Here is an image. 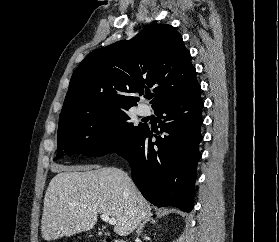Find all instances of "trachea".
I'll return each mask as SVG.
<instances>
[{
    "mask_svg": "<svg viewBox=\"0 0 279 242\" xmlns=\"http://www.w3.org/2000/svg\"><path fill=\"white\" fill-rule=\"evenodd\" d=\"M152 97H153L152 95H148V96H147L148 99H151Z\"/></svg>",
    "mask_w": 279,
    "mask_h": 242,
    "instance_id": "1",
    "label": "trachea"
}]
</instances>
